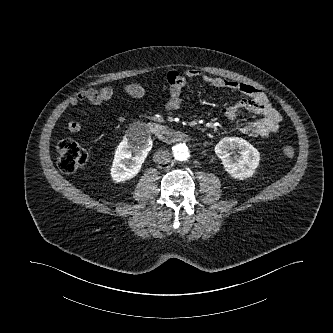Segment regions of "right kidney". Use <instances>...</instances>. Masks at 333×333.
<instances>
[{
    "label": "right kidney",
    "instance_id": "obj_1",
    "mask_svg": "<svg viewBox=\"0 0 333 333\" xmlns=\"http://www.w3.org/2000/svg\"><path fill=\"white\" fill-rule=\"evenodd\" d=\"M151 148L150 136L125 137L115 151L110 173L113 181L120 183L135 177L140 172Z\"/></svg>",
    "mask_w": 333,
    "mask_h": 333
}]
</instances>
